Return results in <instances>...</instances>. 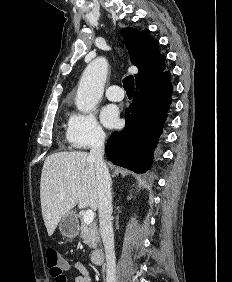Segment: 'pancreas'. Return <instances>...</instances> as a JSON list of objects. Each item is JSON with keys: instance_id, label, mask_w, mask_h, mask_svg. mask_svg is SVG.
<instances>
[{"instance_id": "obj_1", "label": "pancreas", "mask_w": 232, "mask_h": 282, "mask_svg": "<svg viewBox=\"0 0 232 282\" xmlns=\"http://www.w3.org/2000/svg\"><path fill=\"white\" fill-rule=\"evenodd\" d=\"M80 237L90 248H96L100 240L97 224L95 222L87 224L82 220L80 226Z\"/></svg>"}]
</instances>
